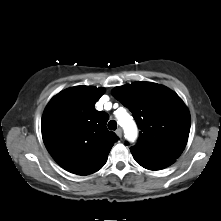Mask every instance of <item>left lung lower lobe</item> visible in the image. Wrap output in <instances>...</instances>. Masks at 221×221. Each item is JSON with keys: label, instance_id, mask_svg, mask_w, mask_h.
Listing matches in <instances>:
<instances>
[{"label": "left lung lower lobe", "instance_id": "0a47b994", "mask_svg": "<svg viewBox=\"0 0 221 221\" xmlns=\"http://www.w3.org/2000/svg\"><path fill=\"white\" fill-rule=\"evenodd\" d=\"M134 159L142 167L149 169V170H161L175 162L173 160L153 161V160H146V159H141L137 157H134Z\"/></svg>", "mask_w": 221, "mask_h": 221}]
</instances>
